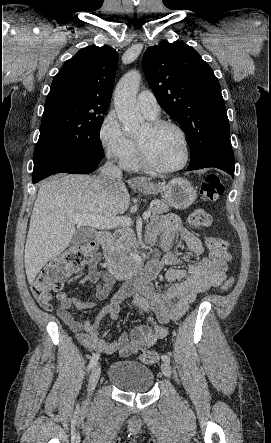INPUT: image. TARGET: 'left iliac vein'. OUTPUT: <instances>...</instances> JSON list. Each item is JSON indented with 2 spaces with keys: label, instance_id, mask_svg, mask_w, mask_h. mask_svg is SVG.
Returning a JSON list of instances; mask_svg holds the SVG:
<instances>
[{
  "label": "left iliac vein",
  "instance_id": "4c4485c4",
  "mask_svg": "<svg viewBox=\"0 0 271 443\" xmlns=\"http://www.w3.org/2000/svg\"><path fill=\"white\" fill-rule=\"evenodd\" d=\"M161 371H162L163 375L166 376L167 378L171 377V367L168 362H163L161 364Z\"/></svg>",
  "mask_w": 271,
  "mask_h": 443
}]
</instances>
